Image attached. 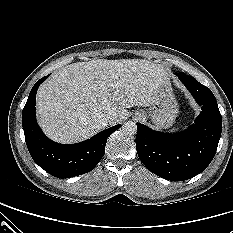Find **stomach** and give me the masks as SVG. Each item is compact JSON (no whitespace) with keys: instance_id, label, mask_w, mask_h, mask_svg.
Listing matches in <instances>:
<instances>
[{"instance_id":"obj_1","label":"stomach","mask_w":233,"mask_h":233,"mask_svg":"<svg viewBox=\"0 0 233 233\" xmlns=\"http://www.w3.org/2000/svg\"><path fill=\"white\" fill-rule=\"evenodd\" d=\"M178 114V105L170 83L160 88L156 99L148 106L147 110H140L135 117L146 119L150 117L159 129L171 127Z\"/></svg>"}]
</instances>
